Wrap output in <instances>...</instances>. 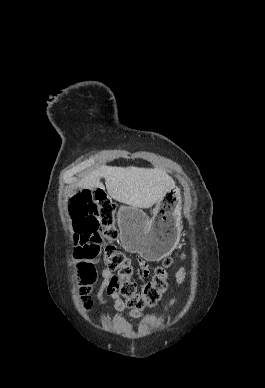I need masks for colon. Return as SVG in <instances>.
Segmentation results:
<instances>
[{
	"label": "colon",
	"instance_id": "1",
	"mask_svg": "<svg viewBox=\"0 0 265 388\" xmlns=\"http://www.w3.org/2000/svg\"><path fill=\"white\" fill-rule=\"evenodd\" d=\"M73 220L74 256L78 259L79 294L82 305L90 309L89 296L96 279L95 264L102 260L113 272L116 291L128 307L142 309L153 306L168 283V268L173 261L167 259L157 267L152 278L140 290L132 279L134 268L131 260L114 244L117 230L114 223L115 205L103 189L84 190L75 195L69 204Z\"/></svg>",
	"mask_w": 265,
	"mask_h": 388
}]
</instances>
